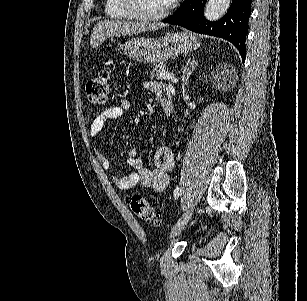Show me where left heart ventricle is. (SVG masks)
I'll return each mask as SVG.
<instances>
[{
  "label": "left heart ventricle",
  "instance_id": "1",
  "mask_svg": "<svg viewBox=\"0 0 307 301\" xmlns=\"http://www.w3.org/2000/svg\"><path fill=\"white\" fill-rule=\"evenodd\" d=\"M137 3L144 6H136L139 10L131 9L130 13H154L160 11L165 0H137Z\"/></svg>",
  "mask_w": 307,
  "mask_h": 301
}]
</instances>
